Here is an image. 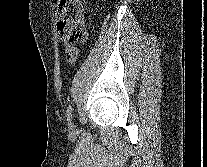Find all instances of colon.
<instances>
[{"label": "colon", "mask_w": 207, "mask_h": 167, "mask_svg": "<svg viewBox=\"0 0 207 167\" xmlns=\"http://www.w3.org/2000/svg\"><path fill=\"white\" fill-rule=\"evenodd\" d=\"M86 0H61L57 27L65 44L74 46L86 39L84 28Z\"/></svg>", "instance_id": "1"}]
</instances>
